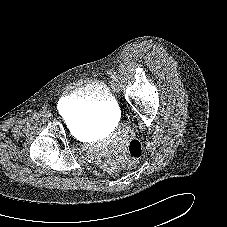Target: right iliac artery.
<instances>
[{"label":"right iliac artery","mask_w":227,"mask_h":227,"mask_svg":"<svg viewBox=\"0 0 227 227\" xmlns=\"http://www.w3.org/2000/svg\"><path fill=\"white\" fill-rule=\"evenodd\" d=\"M33 118H34V119H38V118H39V114H37V113L34 114Z\"/></svg>","instance_id":"obj_1"}]
</instances>
